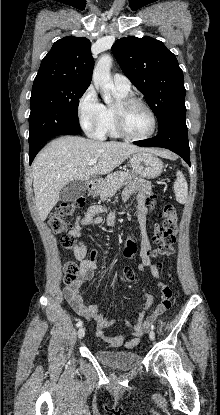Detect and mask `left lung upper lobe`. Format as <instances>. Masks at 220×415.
I'll return each instance as SVG.
<instances>
[{
	"label": "left lung upper lobe",
	"instance_id": "left-lung-upper-lobe-1",
	"mask_svg": "<svg viewBox=\"0 0 220 415\" xmlns=\"http://www.w3.org/2000/svg\"><path fill=\"white\" fill-rule=\"evenodd\" d=\"M112 52L124 74L146 97L159 130L186 114L183 72L163 42L130 36L117 40Z\"/></svg>",
	"mask_w": 220,
	"mask_h": 415
}]
</instances>
